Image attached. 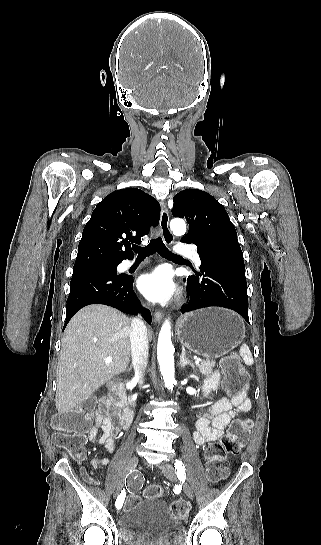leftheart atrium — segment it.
I'll return each instance as SVG.
<instances>
[{"mask_svg": "<svg viewBox=\"0 0 321 545\" xmlns=\"http://www.w3.org/2000/svg\"><path fill=\"white\" fill-rule=\"evenodd\" d=\"M139 290L150 300L167 302L177 293V287L169 270L158 268L140 277Z\"/></svg>", "mask_w": 321, "mask_h": 545, "instance_id": "1", "label": "left heart atrium"}]
</instances>
